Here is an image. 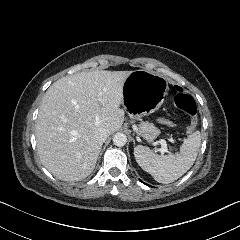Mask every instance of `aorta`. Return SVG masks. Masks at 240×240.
<instances>
[{"label": "aorta", "mask_w": 240, "mask_h": 240, "mask_svg": "<svg viewBox=\"0 0 240 240\" xmlns=\"http://www.w3.org/2000/svg\"><path fill=\"white\" fill-rule=\"evenodd\" d=\"M127 142V136L124 133H116L113 137V143L115 146L122 147Z\"/></svg>", "instance_id": "obj_1"}]
</instances>
